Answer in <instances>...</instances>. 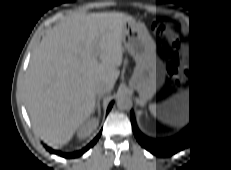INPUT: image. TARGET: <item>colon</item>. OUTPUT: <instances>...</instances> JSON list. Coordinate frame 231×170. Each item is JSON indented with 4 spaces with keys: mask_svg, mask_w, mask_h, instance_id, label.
I'll return each instance as SVG.
<instances>
[{
    "mask_svg": "<svg viewBox=\"0 0 231 170\" xmlns=\"http://www.w3.org/2000/svg\"><path fill=\"white\" fill-rule=\"evenodd\" d=\"M155 27H156V29H158V28L159 29L164 28V30H167V28H168L167 26L163 27V25H161V24H156ZM182 74H183V71L182 70H178V73L175 75V77L178 78V77L182 76Z\"/></svg>",
    "mask_w": 231,
    "mask_h": 170,
    "instance_id": "5ec220e1",
    "label": "colon"
}]
</instances>
